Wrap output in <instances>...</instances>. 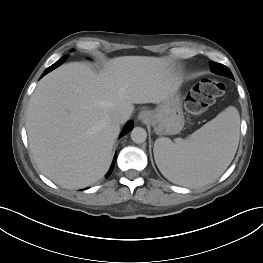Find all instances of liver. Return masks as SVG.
<instances>
[{"mask_svg": "<svg viewBox=\"0 0 263 263\" xmlns=\"http://www.w3.org/2000/svg\"><path fill=\"white\" fill-rule=\"evenodd\" d=\"M181 78L163 58L121 56L95 73L86 64L67 63L46 75L27 109L29 148L41 172L69 189L104 177L120 131L116 113L130 117L134 104L171 98Z\"/></svg>", "mask_w": 263, "mask_h": 263, "instance_id": "obj_1", "label": "liver"}]
</instances>
